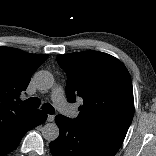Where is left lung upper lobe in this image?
Segmentation results:
<instances>
[{
  "mask_svg": "<svg viewBox=\"0 0 156 156\" xmlns=\"http://www.w3.org/2000/svg\"><path fill=\"white\" fill-rule=\"evenodd\" d=\"M57 62L68 77L67 100L83 99L73 122L123 142L134 114L132 81L124 64L98 51L59 55Z\"/></svg>",
  "mask_w": 156,
  "mask_h": 156,
  "instance_id": "obj_1",
  "label": "left lung upper lobe"
}]
</instances>
